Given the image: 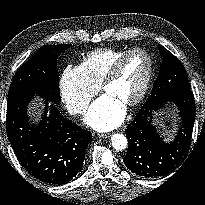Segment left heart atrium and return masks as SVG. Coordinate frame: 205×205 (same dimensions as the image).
I'll return each instance as SVG.
<instances>
[{
    "mask_svg": "<svg viewBox=\"0 0 205 205\" xmlns=\"http://www.w3.org/2000/svg\"><path fill=\"white\" fill-rule=\"evenodd\" d=\"M124 117V104L105 93L90 106L85 122L97 131H109L118 127Z\"/></svg>",
    "mask_w": 205,
    "mask_h": 205,
    "instance_id": "39dd6f15",
    "label": "left heart atrium"
}]
</instances>
